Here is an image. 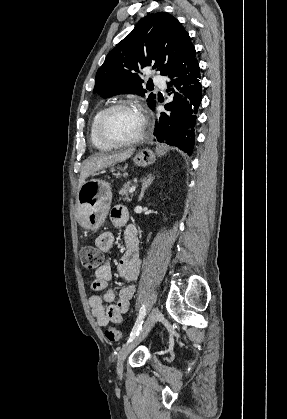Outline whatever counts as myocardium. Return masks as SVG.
Here are the masks:
<instances>
[{
	"instance_id": "obj_1",
	"label": "myocardium",
	"mask_w": 287,
	"mask_h": 419,
	"mask_svg": "<svg viewBox=\"0 0 287 419\" xmlns=\"http://www.w3.org/2000/svg\"><path fill=\"white\" fill-rule=\"evenodd\" d=\"M124 108H134V107L129 101H119L105 108L98 118L97 125H96L97 136L104 144L108 146L121 147V146L133 145L143 140V138L146 135L147 120L142 114H141L142 128L135 137L131 139H127V140H118V139H113L106 134L104 128H105V123L108 117L114 111L119 110V109H124Z\"/></svg>"
}]
</instances>
